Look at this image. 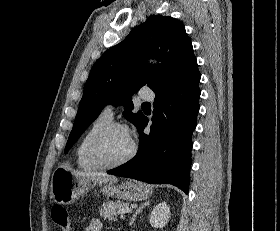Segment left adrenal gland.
<instances>
[{"instance_id": "obj_1", "label": "left adrenal gland", "mask_w": 280, "mask_h": 231, "mask_svg": "<svg viewBox=\"0 0 280 231\" xmlns=\"http://www.w3.org/2000/svg\"><path fill=\"white\" fill-rule=\"evenodd\" d=\"M150 203V199H147V201H144V203H140L139 207H137L135 213H133L131 219H130V223L129 225H133L138 213H140V211H142L143 207H145V205H149Z\"/></svg>"}]
</instances>
